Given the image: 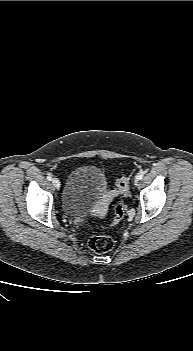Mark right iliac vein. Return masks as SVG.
<instances>
[{"instance_id": "63e3f726", "label": "right iliac vein", "mask_w": 193, "mask_h": 351, "mask_svg": "<svg viewBox=\"0 0 193 351\" xmlns=\"http://www.w3.org/2000/svg\"><path fill=\"white\" fill-rule=\"evenodd\" d=\"M52 184L54 185V187L60 188V181H59L58 178H53L52 179Z\"/></svg>"}]
</instances>
